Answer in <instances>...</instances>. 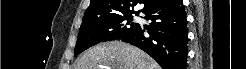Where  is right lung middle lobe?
<instances>
[{
    "mask_svg": "<svg viewBox=\"0 0 246 69\" xmlns=\"http://www.w3.org/2000/svg\"><path fill=\"white\" fill-rule=\"evenodd\" d=\"M133 13L112 15L94 21H82L75 47V56L100 43L120 39L139 24L133 22Z\"/></svg>",
    "mask_w": 246,
    "mask_h": 69,
    "instance_id": "right-lung-middle-lobe-1",
    "label": "right lung middle lobe"
}]
</instances>
